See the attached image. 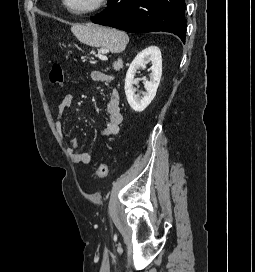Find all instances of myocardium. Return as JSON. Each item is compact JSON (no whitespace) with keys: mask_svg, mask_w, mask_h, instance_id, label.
<instances>
[{"mask_svg":"<svg viewBox=\"0 0 255 272\" xmlns=\"http://www.w3.org/2000/svg\"><path fill=\"white\" fill-rule=\"evenodd\" d=\"M107 3H108V0H97L95 2V4L93 6H91V7L86 8V9L77 10V9H73L69 5L68 0H62V4L66 8V10L68 12H70L71 14L78 15V16L88 15V14H92V13L98 12L101 9H103L106 6Z\"/></svg>","mask_w":255,"mask_h":272,"instance_id":"1","label":"myocardium"}]
</instances>
